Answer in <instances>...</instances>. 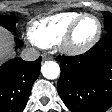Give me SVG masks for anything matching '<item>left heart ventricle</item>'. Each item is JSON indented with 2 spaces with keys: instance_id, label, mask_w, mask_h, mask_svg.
<instances>
[{
  "instance_id": "obj_1",
  "label": "left heart ventricle",
  "mask_w": 112,
  "mask_h": 112,
  "mask_svg": "<svg viewBox=\"0 0 112 112\" xmlns=\"http://www.w3.org/2000/svg\"><path fill=\"white\" fill-rule=\"evenodd\" d=\"M98 28L97 21L92 17H87L81 21L74 35V42L83 45L89 42L96 34Z\"/></svg>"
}]
</instances>
